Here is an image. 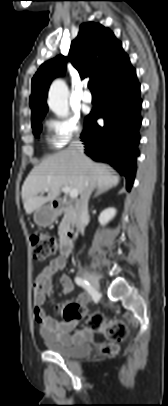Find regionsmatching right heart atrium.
Segmentation results:
<instances>
[{"label":"right heart atrium","instance_id":"obj_1","mask_svg":"<svg viewBox=\"0 0 168 406\" xmlns=\"http://www.w3.org/2000/svg\"><path fill=\"white\" fill-rule=\"evenodd\" d=\"M46 125L51 132V143L55 147H64L83 133L78 114H67L61 117H52Z\"/></svg>","mask_w":168,"mask_h":406}]
</instances>
